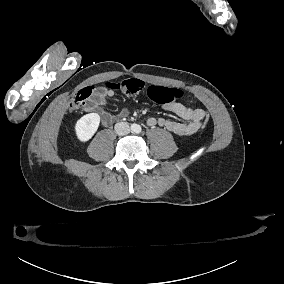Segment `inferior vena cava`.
<instances>
[{
	"label": "inferior vena cava",
	"mask_w": 284,
	"mask_h": 284,
	"mask_svg": "<svg viewBox=\"0 0 284 284\" xmlns=\"http://www.w3.org/2000/svg\"><path fill=\"white\" fill-rule=\"evenodd\" d=\"M115 131L118 135H126L130 133L131 129L127 122H118L115 124Z\"/></svg>",
	"instance_id": "1"
}]
</instances>
